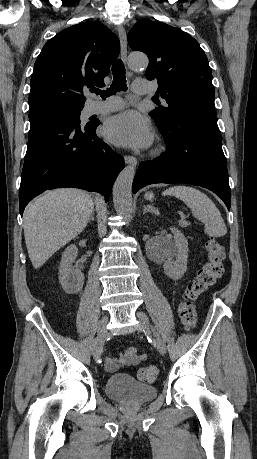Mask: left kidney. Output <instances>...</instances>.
Segmentation results:
<instances>
[{"instance_id":"1","label":"left kidney","mask_w":257,"mask_h":459,"mask_svg":"<svg viewBox=\"0 0 257 459\" xmlns=\"http://www.w3.org/2000/svg\"><path fill=\"white\" fill-rule=\"evenodd\" d=\"M170 230L174 235V241H167L161 249L163 268L169 278L179 280L187 270L188 241L178 229L170 228Z\"/></svg>"}]
</instances>
